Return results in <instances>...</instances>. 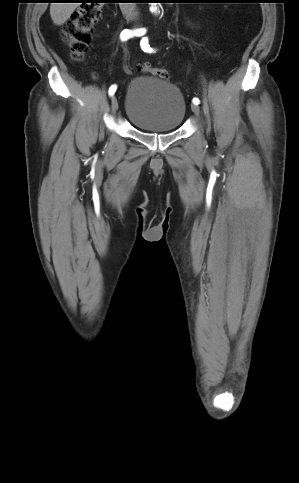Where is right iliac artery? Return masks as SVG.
Returning a JSON list of instances; mask_svg holds the SVG:
<instances>
[{"label":"right iliac artery","instance_id":"obj_1","mask_svg":"<svg viewBox=\"0 0 299 483\" xmlns=\"http://www.w3.org/2000/svg\"><path fill=\"white\" fill-rule=\"evenodd\" d=\"M145 33H146L145 28H140V29H137V30H134V31L124 29L120 34V38H121L122 41H126L133 36H142ZM116 89H117V86L115 84L112 85L109 88V95L112 96L115 93Z\"/></svg>","mask_w":299,"mask_h":483}]
</instances>
